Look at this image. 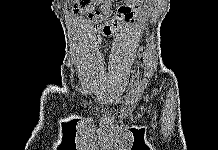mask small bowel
<instances>
[{
	"label": "small bowel",
	"instance_id": "1",
	"mask_svg": "<svg viewBox=\"0 0 218 150\" xmlns=\"http://www.w3.org/2000/svg\"><path fill=\"white\" fill-rule=\"evenodd\" d=\"M114 0H86L76 11L85 14L81 22L105 35H116L125 30L126 24L133 23L137 16L144 17L152 0H125L113 10ZM106 23H102L106 21Z\"/></svg>",
	"mask_w": 218,
	"mask_h": 150
}]
</instances>
